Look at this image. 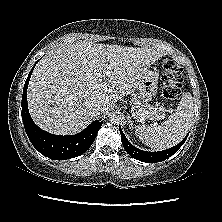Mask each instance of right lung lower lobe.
Here are the masks:
<instances>
[{
  "instance_id": "98d812e1",
  "label": "right lung lower lobe",
  "mask_w": 222,
  "mask_h": 222,
  "mask_svg": "<svg viewBox=\"0 0 222 222\" xmlns=\"http://www.w3.org/2000/svg\"><path fill=\"white\" fill-rule=\"evenodd\" d=\"M34 67L27 77L22 95V120L29 140L42 155L54 160H66L82 155L94 142L103 122L93 121L82 132L71 136L54 135L40 129L33 122L27 105V88Z\"/></svg>"
}]
</instances>
